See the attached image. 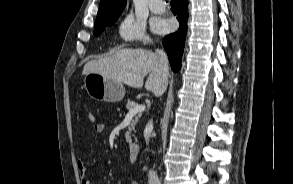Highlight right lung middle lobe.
<instances>
[{
	"label": "right lung middle lobe",
	"instance_id": "right-lung-middle-lobe-1",
	"mask_svg": "<svg viewBox=\"0 0 293 184\" xmlns=\"http://www.w3.org/2000/svg\"><path fill=\"white\" fill-rule=\"evenodd\" d=\"M115 21L100 24V25H95L94 36H99L105 30L106 27L113 25L115 23Z\"/></svg>",
	"mask_w": 293,
	"mask_h": 184
}]
</instances>
